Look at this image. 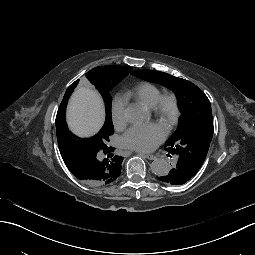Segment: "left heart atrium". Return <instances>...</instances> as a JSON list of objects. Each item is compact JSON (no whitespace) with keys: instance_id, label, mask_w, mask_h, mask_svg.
Wrapping results in <instances>:
<instances>
[{"instance_id":"39dd6f15","label":"left heart atrium","mask_w":255,"mask_h":255,"mask_svg":"<svg viewBox=\"0 0 255 255\" xmlns=\"http://www.w3.org/2000/svg\"><path fill=\"white\" fill-rule=\"evenodd\" d=\"M165 139V132L155 125H136L121 138L125 147L139 151L151 152Z\"/></svg>"}]
</instances>
